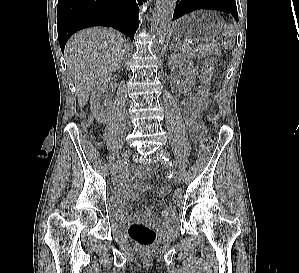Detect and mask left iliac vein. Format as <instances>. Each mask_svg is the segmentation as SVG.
<instances>
[{"mask_svg": "<svg viewBox=\"0 0 299 273\" xmlns=\"http://www.w3.org/2000/svg\"><path fill=\"white\" fill-rule=\"evenodd\" d=\"M156 155H157V156L161 155V156H163V157H167V158H169V153H168L167 151H165L164 149H158V150L156 151ZM166 164H167V166H169V168H170V171H171V173H172V176H173L174 181H175L176 183H180V181H181V177H180V174H179V172L177 171V169H176L174 166L170 165L169 162H166Z\"/></svg>", "mask_w": 299, "mask_h": 273, "instance_id": "4c4485c4", "label": "left iliac vein"}]
</instances>
